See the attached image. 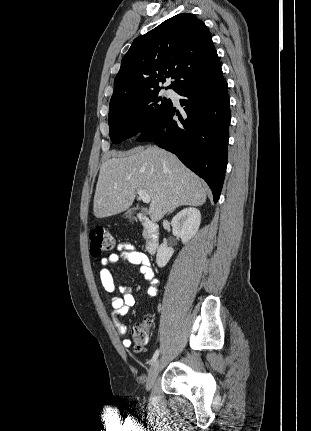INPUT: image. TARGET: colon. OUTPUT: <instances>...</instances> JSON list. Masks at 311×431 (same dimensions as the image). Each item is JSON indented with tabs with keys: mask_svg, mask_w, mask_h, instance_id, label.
Segmentation results:
<instances>
[{
	"mask_svg": "<svg viewBox=\"0 0 311 431\" xmlns=\"http://www.w3.org/2000/svg\"><path fill=\"white\" fill-rule=\"evenodd\" d=\"M115 246L112 234L105 228L97 227L90 233V253L98 257L104 252L111 251ZM152 331V321L146 319L138 322L132 328L134 349L141 352L145 349Z\"/></svg>",
	"mask_w": 311,
	"mask_h": 431,
	"instance_id": "5ec220e1",
	"label": "colon"
}]
</instances>
